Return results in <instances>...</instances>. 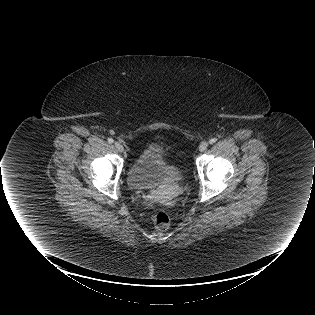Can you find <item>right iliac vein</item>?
I'll use <instances>...</instances> for the list:
<instances>
[{
	"mask_svg": "<svg viewBox=\"0 0 315 315\" xmlns=\"http://www.w3.org/2000/svg\"><path fill=\"white\" fill-rule=\"evenodd\" d=\"M114 145L119 152H122L124 150V147L120 142H115Z\"/></svg>",
	"mask_w": 315,
	"mask_h": 315,
	"instance_id": "63e3f726",
	"label": "right iliac vein"
}]
</instances>
